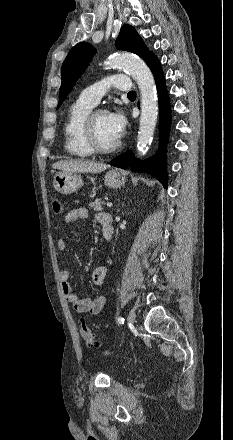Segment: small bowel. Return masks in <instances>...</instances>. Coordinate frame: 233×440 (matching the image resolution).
<instances>
[{"label": "small bowel", "instance_id": "1", "mask_svg": "<svg viewBox=\"0 0 233 440\" xmlns=\"http://www.w3.org/2000/svg\"><path fill=\"white\" fill-rule=\"evenodd\" d=\"M106 216H110V214L100 212L96 214L95 218L99 223H102V220ZM87 218V209L84 207H79L69 211L65 216V221L70 223L78 220H85ZM57 248L59 251H65L67 249L66 241L63 239H59L57 241ZM107 272L108 269L104 265L95 267L92 272V281L94 282V284L102 285L105 281ZM59 277L61 280L62 291L69 304L72 305L77 313H88L92 315H97L102 312L105 306L104 296H99L94 299H82L78 297V295L73 291V287L70 283L71 271L68 268L62 267L59 271Z\"/></svg>", "mask_w": 233, "mask_h": 440}]
</instances>
